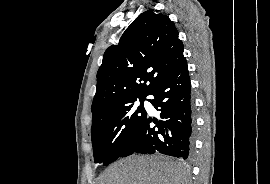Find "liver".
<instances>
[{
  "instance_id": "6515ba94",
  "label": "liver",
  "mask_w": 270,
  "mask_h": 184,
  "mask_svg": "<svg viewBox=\"0 0 270 184\" xmlns=\"http://www.w3.org/2000/svg\"><path fill=\"white\" fill-rule=\"evenodd\" d=\"M188 171L182 163L154 156H132L108 167L99 184H187Z\"/></svg>"
}]
</instances>
